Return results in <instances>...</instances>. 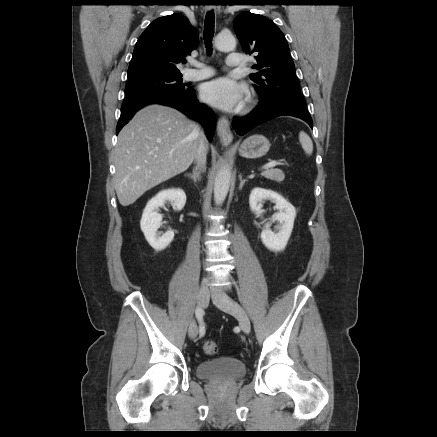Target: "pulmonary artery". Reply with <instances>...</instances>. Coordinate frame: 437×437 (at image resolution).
I'll return each mask as SVG.
<instances>
[{
    "label": "pulmonary artery",
    "mask_w": 437,
    "mask_h": 437,
    "mask_svg": "<svg viewBox=\"0 0 437 437\" xmlns=\"http://www.w3.org/2000/svg\"><path fill=\"white\" fill-rule=\"evenodd\" d=\"M227 66L230 68H238L243 64V58L238 53H230L226 60ZM194 66L197 69L188 70L184 77L188 81H197L211 77L214 74V71L209 66H206L203 63L195 62Z\"/></svg>",
    "instance_id": "e3ab8cb5"
}]
</instances>
